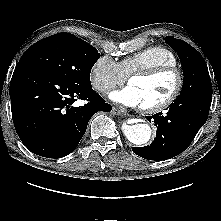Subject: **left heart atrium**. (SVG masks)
Instances as JSON below:
<instances>
[{"instance_id": "obj_1", "label": "left heart atrium", "mask_w": 221, "mask_h": 221, "mask_svg": "<svg viewBox=\"0 0 221 221\" xmlns=\"http://www.w3.org/2000/svg\"><path fill=\"white\" fill-rule=\"evenodd\" d=\"M109 97L118 103L126 106H141V99L132 85H128L120 90H114L109 93Z\"/></svg>"}]
</instances>
